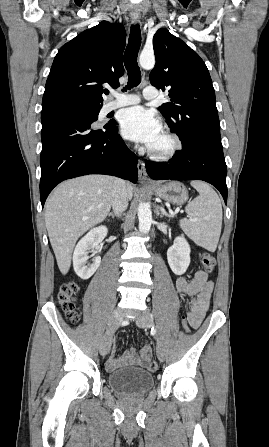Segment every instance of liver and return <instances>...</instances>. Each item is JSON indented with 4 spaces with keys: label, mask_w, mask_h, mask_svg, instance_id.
I'll return each instance as SVG.
<instances>
[{
    "label": "liver",
    "mask_w": 269,
    "mask_h": 447,
    "mask_svg": "<svg viewBox=\"0 0 269 447\" xmlns=\"http://www.w3.org/2000/svg\"><path fill=\"white\" fill-rule=\"evenodd\" d=\"M114 178L82 176L60 184L45 204V224L61 273L71 265L74 245L87 229L100 224L111 210ZM129 200L133 186L126 184Z\"/></svg>",
    "instance_id": "1"
}]
</instances>
